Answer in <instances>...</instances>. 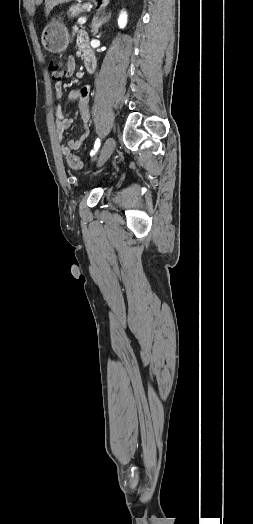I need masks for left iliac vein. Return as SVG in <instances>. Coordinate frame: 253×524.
Segmentation results:
<instances>
[{"label": "left iliac vein", "mask_w": 253, "mask_h": 524, "mask_svg": "<svg viewBox=\"0 0 253 524\" xmlns=\"http://www.w3.org/2000/svg\"><path fill=\"white\" fill-rule=\"evenodd\" d=\"M115 145V140L112 137L106 139L97 162L98 166L103 165L106 162V160L111 156V154L114 151Z\"/></svg>", "instance_id": "1"}]
</instances>
